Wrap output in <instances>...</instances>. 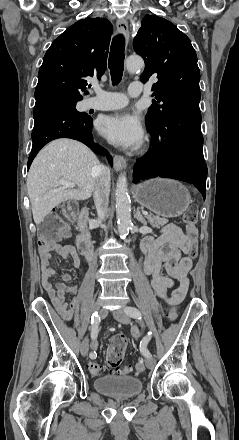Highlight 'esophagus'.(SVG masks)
Here are the masks:
<instances>
[{"label": "esophagus", "mask_w": 239, "mask_h": 440, "mask_svg": "<svg viewBox=\"0 0 239 440\" xmlns=\"http://www.w3.org/2000/svg\"><path fill=\"white\" fill-rule=\"evenodd\" d=\"M117 30L122 33L126 39V43L129 40V27L128 23L124 19L117 20L116 23ZM113 164L115 170L119 171L126 168V159L122 155H115L113 159Z\"/></svg>", "instance_id": "34e87169"}]
</instances>
